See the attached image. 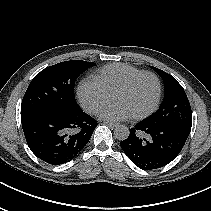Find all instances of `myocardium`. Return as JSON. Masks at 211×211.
<instances>
[{
  "label": "myocardium",
  "mask_w": 211,
  "mask_h": 211,
  "mask_svg": "<svg viewBox=\"0 0 211 211\" xmlns=\"http://www.w3.org/2000/svg\"><path fill=\"white\" fill-rule=\"evenodd\" d=\"M143 77H152L155 80L156 85H157V95H156L154 104L148 110L140 114L132 115V118L136 120L145 119L149 117L150 115H152L158 109L160 101H161V97H162V84L159 77L153 72L140 73L138 75L133 76L126 82H124L122 85L116 88L114 92L112 93V98H113L114 95L128 90L134 83H136L138 80L142 79Z\"/></svg>",
  "instance_id": "1"
}]
</instances>
